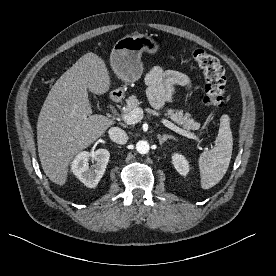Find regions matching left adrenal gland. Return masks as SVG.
<instances>
[{"label": "left adrenal gland", "mask_w": 276, "mask_h": 276, "mask_svg": "<svg viewBox=\"0 0 276 276\" xmlns=\"http://www.w3.org/2000/svg\"><path fill=\"white\" fill-rule=\"evenodd\" d=\"M157 138L159 140L160 145L166 142L167 139H175L172 135H166V134H164L163 136L157 135Z\"/></svg>", "instance_id": "a2214340"}]
</instances>
